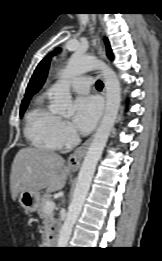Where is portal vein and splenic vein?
Masks as SVG:
<instances>
[{
    "mask_svg": "<svg viewBox=\"0 0 162 261\" xmlns=\"http://www.w3.org/2000/svg\"><path fill=\"white\" fill-rule=\"evenodd\" d=\"M55 209V203L53 201H48L45 204L44 211L46 213H52Z\"/></svg>",
    "mask_w": 162,
    "mask_h": 261,
    "instance_id": "obj_1",
    "label": "portal vein and splenic vein"
}]
</instances>
